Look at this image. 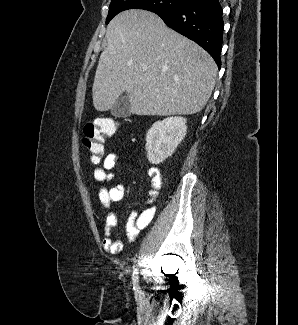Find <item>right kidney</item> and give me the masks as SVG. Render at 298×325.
Wrapping results in <instances>:
<instances>
[{"label": "right kidney", "mask_w": 298, "mask_h": 325, "mask_svg": "<svg viewBox=\"0 0 298 325\" xmlns=\"http://www.w3.org/2000/svg\"><path fill=\"white\" fill-rule=\"evenodd\" d=\"M187 132L184 116H168L153 122L146 134V154L151 165H160L172 156L179 142Z\"/></svg>", "instance_id": "1"}]
</instances>
